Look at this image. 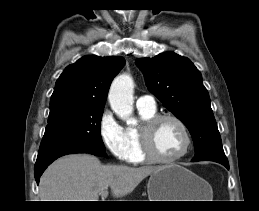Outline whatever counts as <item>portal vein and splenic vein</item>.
I'll return each mask as SVG.
<instances>
[{"instance_id": "18ae733b", "label": "portal vein and splenic vein", "mask_w": 259, "mask_h": 211, "mask_svg": "<svg viewBox=\"0 0 259 211\" xmlns=\"http://www.w3.org/2000/svg\"><path fill=\"white\" fill-rule=\"evenodd\" d=\"M101 198H105L108 195L107 190H103L102 192H100Z\"/></svg>"}]
</instances>
